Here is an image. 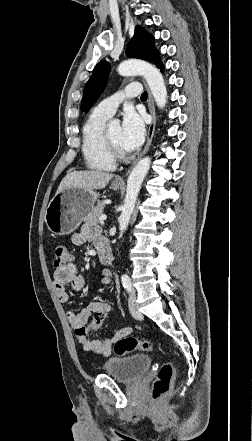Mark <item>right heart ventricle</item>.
<instances>
[{
  "label": "right heart ventricle",
  "mask_w": 252,
  "mask_h": 441,
  "mask_svg": "<svg viewBox=\"0 0 252 441\" xmlns=\"http://www.w3.org/2000/svg\"><path fill=\"white\" fill-rule=\"evenodd\" d=\"M108 118L94 110L82 127L81 152L86 167L93 171L109 172L116 167V161L107 154L103 144V132Z\"/></svg>",
  "instance_id": "right-heart-ventricle-1"
}]
</instances>
